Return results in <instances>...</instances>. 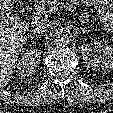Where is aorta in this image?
<instances>
[{
    "label": "aorta",
    "instance_id": "762f6f07",
    "mask_svg": "<svg viewBox=\"0 0 113 113\" xmlns=\"http://www.w3.org/2000/svg\"><path fill=\"white\" fill-rule=\"evenodd\" d=\"M72 37L71 32L67 28H59L53 34V40L58 45H66Z\"/></svg>",
    "mask_w": 113,
    "mask_h": 113
}]
</instances>
